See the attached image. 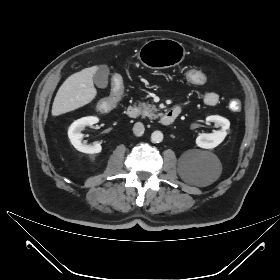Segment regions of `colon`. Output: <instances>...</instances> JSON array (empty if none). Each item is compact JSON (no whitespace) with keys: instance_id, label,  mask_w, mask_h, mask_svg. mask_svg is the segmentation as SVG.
<instances>
[{"instance_id":"5ec220e1","label":"colon","mask_w":280,"mask_h":280,"mask_svg":"<svg viewBox=\"0 0 280 280\" xmlns=\"http://www.w3.org/2000/svg\"><path fill=\"white\" fill-rule=\"evenodd\" d=\"M182 78L185 82L192 86L202 87L207 82V77L204 72L194 67L186 68L182 73ZM112 95L108 100H103L99 103L98 108L101 112H107L113 107L122 97L123 94V78L119 74H114L110 78ZM232 111H239L241 103L238 100H232L229 104Z\"/></svg>"}]
</instances>
